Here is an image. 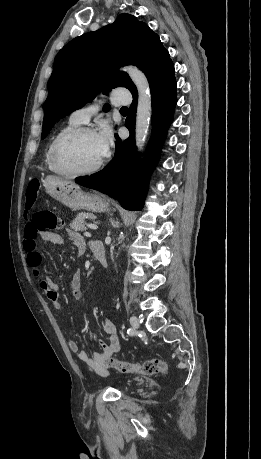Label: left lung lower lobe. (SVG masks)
Returning <instances> with one entry per match:
<instances>
[{
    "label": "left lung lower lobe",
    "mask_w": 261,
    "mask_h": 459,
    "mask_svg": "<svg viewBox=\"0 0 261 459\" xmlns=\"http://www.w3.org/2000/svg\"><path fill=\"white\" fill-rule=\"evenodd\" d=\"M149 84L153 124L149 149L152 159L157 160L177 103L173 63L167 65ZM132 95L133 102L125 121V126L130 131L129 138L123 142L117 138L114 159L100 172L90 177L77 178L76 183L117 199L128 210H141L148 178L135 152L137 92Z\"/></svg>",
    "instance_id": "left-lung-lower-lobe-1"
}]
</instances>
